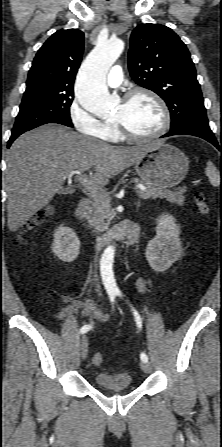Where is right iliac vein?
Wrapping results in <instances>:
<instances>
[{"instance_id":"63e3f726","label":"right iliac vein","mask_w":222,"mask_h":447,"mask_svg":"<svg viewBox=\"0 0 222 447\" xmlns=\"http://www.w3.org/2000/svg\"><path fill=\"white\" fill-rule=\"evenodd\" d=\"M88 337L86 335H83L80 339V351H81V357L82 359H85L88 354Z\"/></svg>"}]
</instances>
